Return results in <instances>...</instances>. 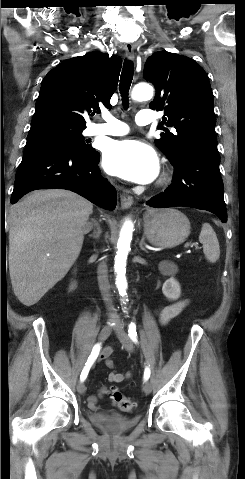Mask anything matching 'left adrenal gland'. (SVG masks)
Listing matches in <instances>:
<instances>
[{
  "mask_svg": "<svg viewBox=\"0 0 245 479\" xmlns=\"http://www.w3.org/2000/svg\"><path fill=\"white\" fill-rule=\"evenodd\" d=\"M144 240H145V238L142 237V239H141V241H140V244H139V247L141 248V250H143V251H145V252H148V251L145 249V247H144V244H145Z\"/></svg>",
  "mask_w": 245,
  "mask_h": 479,
  "instance_id": "left-adrenal-gland-1",
  "label": "left adrenal gland"
}]
</instances>
